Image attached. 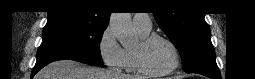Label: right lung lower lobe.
I'll return each instance as SVG.
<instances>
[{
  "label": "right lung lower lobe",
  "mask_w": 255,
  "mask_h": 79,
  "mask_svg": "<svg viewBox=\"0 0 255 79\" xmlns=\"http://www.w3.org/2000/svg\"><path fill=\"white\" fill-rule=\"evenodd\" d=\"M49 63H51V62H46V63L39 64V65L36 64L32 71L31 77H33L41 68H43L45 65H47Z\"/></svg>",
  "instance_id": "obj_1"
}]
</instances>
